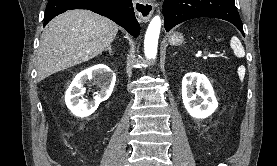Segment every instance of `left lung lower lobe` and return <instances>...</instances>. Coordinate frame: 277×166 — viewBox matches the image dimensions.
Segmentation results:
<instances>
[{
	"label": "left lung lower lobe",
	"mask_w": 277,
	"mask_h": 166,
	"mask_svg": "<svg viewBox=\"0 0 277 166\" xmlns=\"http://www.w3.org/2000/svg\"><path fill=\"white\" fill-rule=\"evenodd\" d=\"M163 15L166 31L190 19L212 17L234 24L244 36L234 0H164Z\"/></svg>",
	"instance_id": "1"
}]
</instances>
